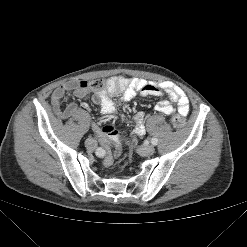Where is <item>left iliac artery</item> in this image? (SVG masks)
I'll return each instance as SVG.
<instances>
[{"label": "left iliac artery", "mask_w": 247, "mask_h": 247, "mask_svg": "<svg viewBox=\"0 0 247 247\" xmlns=\"http://www.w3.org/2000/svg\"><path fill=\"white\" fill-rule=\"evenodd\" d=\"M151 143L153 144V145H157L158 144V139L157 138H151Z\"/></svg>", "instance_id": "obj_1"}]
</instances>
